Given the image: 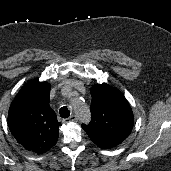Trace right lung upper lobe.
Here are the masks:
<instances>
[{
	"label": "right lung upper lobe",
	"instance_id": "1",
	"mask_svg": "<svg viewBox=\"0 0 171 171\" xmlns=\"http://www.w3.org/2000/svg\"><path fill=\"white\" fill-rule=\"evenodd\" d=\"M51 85L30 81L16 95L8 114V126L27 150L45 153L58 140L60 123L49 106Z\"/></svg>",
	"mask_w": 171,
	"mask_h": 171
}]
</instances>
